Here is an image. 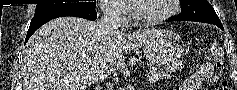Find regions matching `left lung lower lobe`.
Here are the masks:
<instances>
[{
    "mask_svg": "<svg viewBox=\"0 0 237 90\" xmlns=\"http://www.w3.org/2000/svg\"><path fill=\"white\" fill-rule=\"evenodd\" d=\"M180 20H185V21H197V20H192V19L183 18V17H180V16L171 17V18H169L167 21H180ZM197 22H204V21H197ZM204 23L214 24V25L218 26L221 30H224L222 24L210 23V22H204Z\"/></svg>",
    "mask_w": 237,
    "mask_h": 90,
    "instance_id": "0a47b994",
    "label": "left lung lower lobe"
}]
</instances>
